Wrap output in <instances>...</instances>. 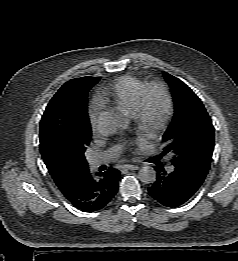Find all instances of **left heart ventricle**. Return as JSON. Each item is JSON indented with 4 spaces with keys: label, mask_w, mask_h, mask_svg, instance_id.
<instances>
[{
    "label": "left heart ventricle",
    "mask_w": 238,
    "mask_h": 261,
    "mask_svg": "<svg viewBox=\"0 0 238 261\" xmlns=\"http://www.w3.org/2000/svg\"><path fill=\"white\" fill-rule=\"evenodd\" d=\"M164 100L159 91H153L149 97V124L159 120L163 113Z\"/></svg>",
    "instance_id": "left-heart-ventricle-1"
}]
</instances>
